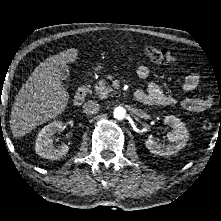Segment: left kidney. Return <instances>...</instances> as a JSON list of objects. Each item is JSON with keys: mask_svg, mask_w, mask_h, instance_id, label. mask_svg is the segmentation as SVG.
Wrapping results in <instances>:
<instances>
[{"mask_svg": "<svg viewBox=\"0 0 221 221\" xmlns=\"http://www.w3.org/2000/svg\"><path fill=\"white\" fill-rule=\"evenodd\" d=\"M164 124L172 128V130L167 133L169 143L161 144L155 141L153 137H148L145 141V146L150 153L154 155L170 157L186 146L189 133L185 124L175 116H166L164 118Z\"/></svg>", "mask_w": 221, "mask_h": 221, "instance_id": "1", "label": "left kidney"}]
</instances>
